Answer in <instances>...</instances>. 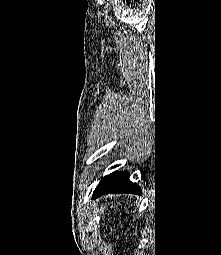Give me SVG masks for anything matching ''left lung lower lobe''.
I'll use <instances>...</instances> for the list:
<instances>
[{
  "label": "left lung lower lobe",
  "mask_w": 221,
  "mask_h": 255,
  "mask_svg": "<svg viewBox=\"0 0 221 255\" xmlns=\"http://www.w3.org/2000/svg\"><path fill=\"white\" fill-rule=\"evenodd\" d=\"M107 193L141 194V188L129 180L126 172H113L103 177L93 193V198Z\"/></svg>",
  "instance_id": "0a47b994"
}]
</instances>
